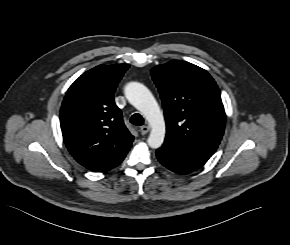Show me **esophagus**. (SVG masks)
I'll return each instance as SVG.
<instances>
[{
    "label": "esophagus",
    "instance_id": "obj_1",
    "mask_svg": "<svg viewBox=\"0 0 290 245\" xmlns=\"http://www.w3.org/2000/svg\"><path fill=\"white\" fill-rule=\"evenodd\" d=\"M139 131H140V133L142 135H145V134H147L150 131V127L147 126V125H143V126L140 127Z\"/></svg>",
    "mask_w": 290,
    "mask_h": 245
}]
</instances>
